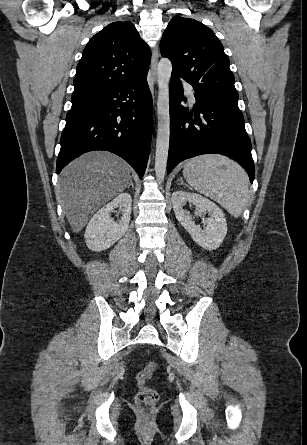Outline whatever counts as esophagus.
I'll list each match as a JSON object with an SVG mask.
<instances>
[{
  "label": "esophagus",
  "instance_id": "obj_1",
  "mask_svg": "<svg viewBox=\"0 0 307 445\" xmlns=\"http://www.w3.org/2000/svg\"><path fill=\"white\" fill-rule=\"evenodd\" d=\"M159 60V52H158V46L156 45L152 52V58H151V75L153 82H157V65Z\"/></svg>",
  "mask_w": 307,
  "mask_h": 445
}]
</instances>
